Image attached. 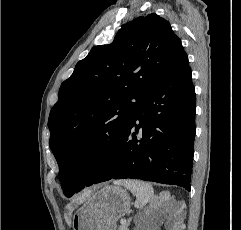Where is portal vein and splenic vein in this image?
<instances>
[{"label": "portal vein and splenic vein", "mask_w": 241, "mask_h": 230, "mask_svg": "<svg viewBox=\"0 0 241 230\" xmlns=\"http://www.w3.org/2000/svg\"><path fill=\"white\" fill-rule=\"evenodd\" d=\"M120 223H121L122 225H125V224H127V221H126L125 219H121V220H120Z\"/></svg>", "instance_id": "obj_1"}]
</instances>
